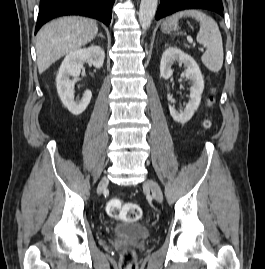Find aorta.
I'll return each instance as SVG.
<instances>
[{
  "label": "aorta",
  "mask_w": 265,
  "mask_h": 269,
  "mask_svg": "<svg viewBox=\"0 0 265 269\" xmlns=\"http://www.w3.org/2000/svg\"><path fill=\"white\" fill-rule=\"evenodd\" d=\"M158 0H141L139 9V23L143 30L150 27L157 10Z\"/></svg>",
  "instance_id": "obj_1"
}]
</instances>
